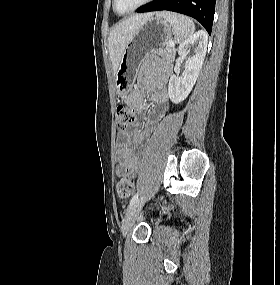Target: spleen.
<instances>
[{"label":"spleen","mask_w":280,"mask_h":285,"mask_svg":"<svg viewBox=\"0 0 280 285\" xmlns=\"http://www.w3.org/2000/svg\"><path fill=\"white\" fill-rule=\"evenodd\" d=\"M157 15L171 24L174 40L177 43H181L195 31V25L189 17L168 11L160 12Z\"/></svg>","instance_id":"3e777b00"}]
</instances>
